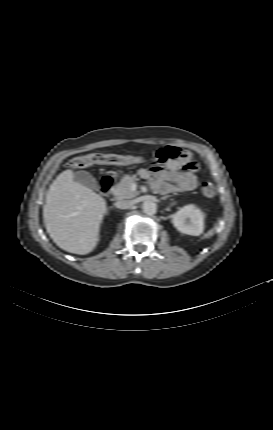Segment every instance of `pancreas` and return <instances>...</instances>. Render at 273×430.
I'll use <instances>...</instances> for the list:
<instances>
[{
	"instance_id": "1",
	"label": "pancreas",
	"mask_w": 273,
	"mask_h": 430,
	"mask_svg": "<svg viewBox=\"0 0 273 430\" xmlns=\"http://www.w3.org/2000/svg\"><path fill=\"white\" fill-rule=\"evenodd\" d=\"M135 184V177L130 175H125L121 181L114 187L113 193L116 199H131L136 197L139 192L132 190L131 186Z\"/></svg>"
}]
</instances>
